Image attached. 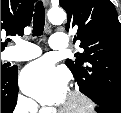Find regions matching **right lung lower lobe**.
<instances>
[{"label": "right lung lower lobe", "instance_id": "1", "mask_svg": "<svg viewBox=\"0 0 121 113\" xmlns=\"http://www.w3.org/2000/svg\"><path fill=\"white\" fill-rule=\"evenodd\" d=\"M17 67L7 69L1 74V113H12L18 94Z\"/></svg>", "mask_w": 121, "mask_h": 113}]
</instances>
